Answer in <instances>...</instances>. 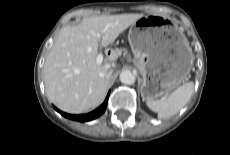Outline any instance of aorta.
I'll return each instance as SVG.
<instances>
[{"instance_id":"obj_1","label":"aorta","mask_w":230,"mask_h":155,"mask_svg":"<svg viewBox=\"0 0 230 155\" xmlns=\"http://www.w3.org/2000/svg\"><path fill=\"white\" fill-rule=\"evenodd\" d=\"M119 78H120V81L123 84H126V85H132L136 81L135 74L133 72L129 71V70H123L120 73V77Z\"/></svg>"}]
</instances>
